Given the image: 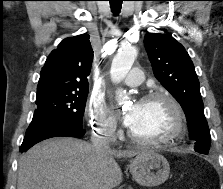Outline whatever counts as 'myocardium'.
<instances>
[{
	"label": "myocardium",
	"mask_w": 223,
	"mask_h": 189,
	"mask_svg": "<svg viewBox=\"0 0 223 189\" xmlns=\"http://www.w3.org/2000/svg\"><path fill=\"white\" fill-rule=\"evenodd\" d=\"M151 100H164L169 104L174 115V124L172 129L161 136L151 138L141 137L135 134L131 129H129L127 131L128 137L137 143L146 145L166 143L180 137L185 129L186 116L178 100L172 94L166 91L150 92L141 98V102H147Z\"/></svg>",
	"instance_id": "obj_1"
}]
</instances>
